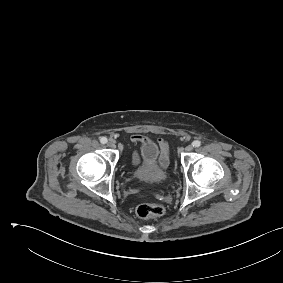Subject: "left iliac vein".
<instances>
[{
    "mask_svg": "<svg viewBox=\"0 0 283 283\" xmlns=\"http://www.w3.org/2000/svg\"><path fill=\"white\" fill-rule=\"evenodd\" d=\"M193 150V146L192 145H188L186 148H185V151L186 152H191Z\"/></svg>",
    "mask_w": 283,
    "mask_h": 283,
    "instance_id": "left-iliac-vein-1",
    "label": "left iliac vein"
}]
</instances>
